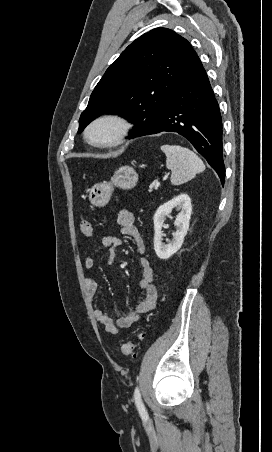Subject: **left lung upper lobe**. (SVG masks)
<instances>
[{
	"label": "left lung upper lobe",
	"mask_w": 272,
	"mask_h": 452,
	"mask_svg": "<svg viewBox=\"0 0 272 452\" xmlns=\"http://www.w3.org/2000/svg\"><path fill=\"white\" fill-rule=\"evenodd\" d=\"M196 55L190 43L170 29L156 28L143 34L121 53L96 85L80 116L78 132L106 112L120 113L135 124L133 131L157 123Z\"/></svg>",
	"instance_id": "obj_1"
}]
</instances>
